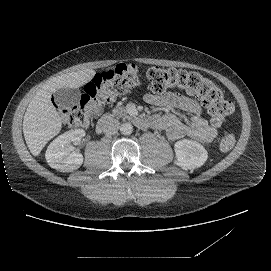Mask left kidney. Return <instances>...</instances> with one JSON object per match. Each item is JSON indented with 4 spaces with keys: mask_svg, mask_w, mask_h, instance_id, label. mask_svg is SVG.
<instances>
[{
    "mask_svg": "<svg viewBox=\"0 0 271 271\" xmlns=\"http://www.w3.org/2000/svg\"><path fill=\"white\" fill-rule=\"evenodd\" d=\"M174 150L180 166L187 169L201 167L208 158L206 149L193 140L183 139L177 141Z\"/></svg>",
    "mask_w": 271,
    "mask_h": 271,
    "instance_id": "obj_1",
    "label": "left kidney"
}]
</instances>
